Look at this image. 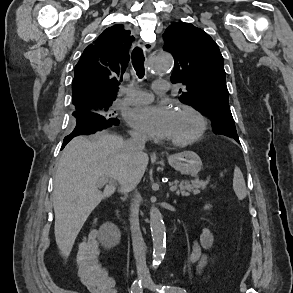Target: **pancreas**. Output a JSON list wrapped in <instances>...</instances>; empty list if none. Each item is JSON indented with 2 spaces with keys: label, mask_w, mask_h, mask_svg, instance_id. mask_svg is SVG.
<instances>
[{
  "label": "pancreas",
  "mask_w": 293,
  "mask_h": 293,
  "mask_svg": "<svg viewBox=\"0 0 293 293\" xmlns=\"http://www.w3.org/2000/svg\"><path fill=\"white\" fill-rule=\"evenodd\" d=\"M171 185L177 186L178 189L176 191L177 195L182 196H189L190 193L196 195L201 192V190H205L207 186L209 185V180H200L199 178H196L194 180H184L180 183L178 181H174L170 183Z\"/></svg>",
  "instance_id": "obj_1"
}]
</instances>
